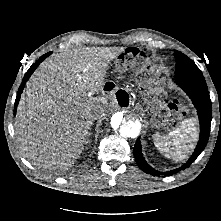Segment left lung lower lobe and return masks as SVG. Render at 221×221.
I'll use <instances>...</instances> for the list:
<instances>
[{
    "instance_id": "obj_1",
    "label": "left lung lower lobe",
    "mask_w": 221,
    "mask_h": 221,
    "mask_svg": "<svg viewBox=\"0 0 221 221\" xmlns=\"http://www.w3.org/2000/svg\"><path fill=\"white\" fill-rule=\"evenodd\" d=\"M175 80L177 85L181 87L186 92V94L191 98L194 106L197 109L199 123H200V138L195 148V151L193 152L190 159L181 167L167 172L156 171L147 164V162L145 161L142 155L140 138H138L134 146V157L136 163L141 170L155 176H160V175L170 176L175 174L176 172L188 168L197 159L200 153L204 150L209 138L211 119H212L211 100L204 77L182 76V77H175Z\"/></svg>"
}]
</instances>
